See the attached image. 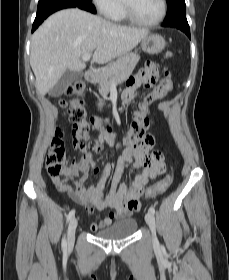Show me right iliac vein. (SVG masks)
I'll return each instance as SVG.
<instances>
[{
    "instance_id": "obj_1",
    "label": "right iliac vein",
    "mask_w": 229,
    "mask_h": 280,
    "mask_svg": "<svg viewBox=\"0 0 229 280\" xmlns=\"http://www.w3.org/2000/svg\"><path fill=\"white\" fill-rule=\"evenodd\" d=\"M78 225V219L73 217L70 220V223L68 225V231H67V241L69 245H72L75 241V231Z\"/></svg>"
}]
</instances>
